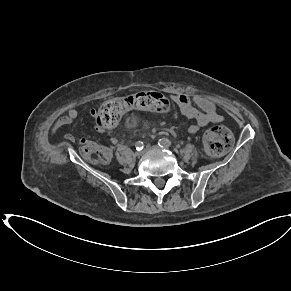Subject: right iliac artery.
Segmentation results:
<instances>
[{
    "label": "right iliac artery",
    "mask_w": 291,
    "mask_h": 291,
    "mask_svg": "<svg viewBox=\"0 0 291 291\" xmlns=\"http://www.w3.org/2000/svg\"><path fill=\"white\" fill-rule=\"evenodd\" d=\"M143 148H144V144H143V142L138 141V142L136 143V150H137V151H141Z\"/></svg>",
    "instance_id": "82829eb1"
}]
</instances>
